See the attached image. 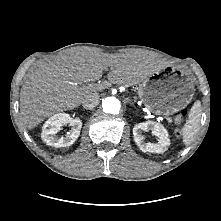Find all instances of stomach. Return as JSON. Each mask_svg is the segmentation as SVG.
<instances>
[{"label":"stomach","mask_w":221,"mask_h":221,"mask_svg":"<svg viewBox=\"0 0 221 221\" xmlns=\"http://www.w3.org/2000/svg\"><path fill=\"white\" fill-rule=\"evenodd\" d=\"M194 95V84L183 71H156L138 86V97L157 115H171L185 108Z\"/></svg>","instance_id":"1"}]
</instances>
